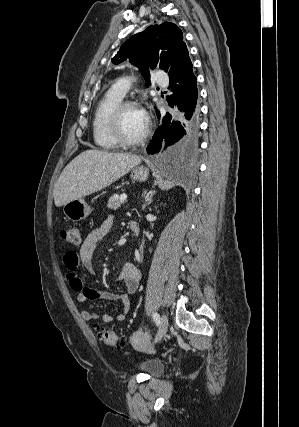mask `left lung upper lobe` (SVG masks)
I'll list each match as a JSON object with an SVG mask.
<instances>
[{
	"mask_svg": "<svg viewBox=\"0 0 299 427\" xmlns=\"http://www.w3.org/2000/svg\"><path fill=\"white\" fill-rule=\"evenodd\" d=\"M182 42L183 33L177 25L169 22L151 25L125 41L112 62L119 64L129 59L141 69L149 85L148 68L159 65L167 72Z\"/></svg>",
	"mask_w": 299,
	"mask_h": 427,
	"instance_id": "left-lung-upper-lobe-1",
	"label": "left lung upper lobe"
}]
</instances>
